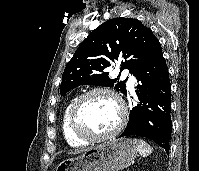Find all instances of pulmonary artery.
<instances>
[{
    "instance_id": "1",
    "label": "pulmonary artery",
    "mask_w": 199,
    "mask_h": 171,
    "mask_svg": "<svg viewBox=\"0 0 199 171\" xmlns=\"http://www.w3.org/2000/svg\"><path fill=\"white\" fill-rule=\"evenodd\" d=\"M129 82H130L131 85H133L135 83L134 77H130Z\"/></svg>"
}]
</instances>
